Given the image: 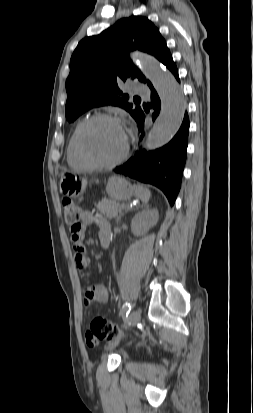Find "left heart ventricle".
I'll return each mask as SVG.
<instances>
[{"instance_id": "b2bd125f", "label": "left heart ventricle", "mask_w": 253, "mask_h": 413, "mask_svg": "<svg viewBox=\"0 0 253 413\" xmlns=\"http://www.w3.org/2000/svg\"><path fill=\"white\" fill-rule=\"evenodd\" d=\"M126 135L123 127L112 121H98L85 133L84 144L88 154L97 161L109 162L124 150Z\"/></svg>"}]
</instances>
